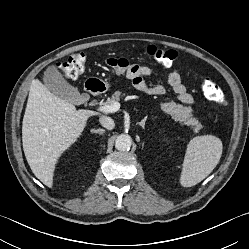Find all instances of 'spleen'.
<instances>
[{
    "label": "spleen",
    "instance_id": "3e777b00",
    "mask_svg": "<svg viewBox=\"0 0 249 249\" xmlns=\"http://www.w3.org/2000/svg\"><path fill=\"white\" fill-rule=\"evenodd\" d=\"M222 141L213 135L194 137L188 144L180 183L191 187L204 180L219 163Z\"/></svg>",
    "mask_w": 249,
    "mask_h": 249
}]
</instances>
